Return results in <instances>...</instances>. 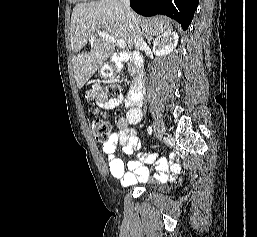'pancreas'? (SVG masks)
<instances>
[{
  "label": "pancreas",
  "instance_id": "1",
  "mask_svg": "<svg viewBox=\"0 0 257 237\" xmlns=\"http://www.w3.org/2000/svg\"><path fill=\"white\" fill-rule=\"evenodd\" d=\"M128 70H129L130 75H131V76H134L135 71H134V67H133L132 64H129V65H128Z\"/></svg>",
  "mask_w": 257,
  "mask_h": 237
}]
</instances>
